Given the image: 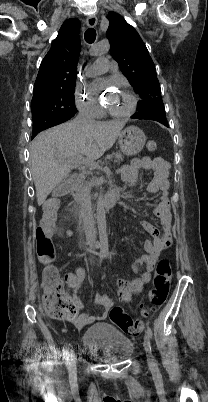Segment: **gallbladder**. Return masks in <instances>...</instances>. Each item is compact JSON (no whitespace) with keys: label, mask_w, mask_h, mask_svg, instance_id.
Wrapping results in <instances>:
<instances>
[{"label":"gallbladder","mask_w":208,"mask_h":402,"mask_svg":"<svg viewBox=\"0 0 208 402\" xmlns=\"http://www.w3.org/2000/svg\"><path fill=\"white\" fill-rule=\"evenodd\" d=\"M70 188H71L70 181H59L58 186L54 188L52 196L54 198H57L59 195H65L67 193V190H70Z\"/></svg>","instance_id":"gallbladder-1"}]
</instances>
